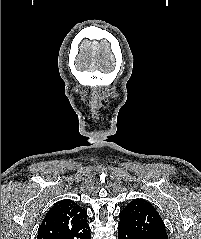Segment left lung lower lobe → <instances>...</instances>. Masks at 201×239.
Wrapping results in <instances>:
<instances>
[{"label":"left lung lower lobe","instance_id":"obj_1","mask_svg":"<svg viewBox=\"0 0 201 239\" xmlns=\"http://www.w3.org/2000/svg\"><path fill=\"white\" fill-rule=\"evenodd\" d=\"M118 239H142L137 233L130 230L129 228L118 225Z\"/></svg>","mask_w":201,"mask_h":239}]
</instances>
